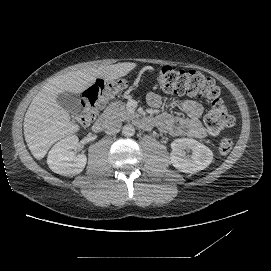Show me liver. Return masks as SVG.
Wrapping results in <instances>:
<instances>
[{
    "mask_svg": "<svg viewBox=\"0 0 271 271\" xmlns=\"http://www.w3.org/2000/svg\"><path fill=\"white\" fill-rule=\"evenodd\" d=\"M134 66L130 62L117 63L70 71L51 78L33 98L24 117V137L33 157L41 160L54 142L77 130L75 125L68 123L69 115L57 103L58 94L66 91L81 93L97 77L115 79L126 75Z\"/></svg>",
    "mask_w": 271,
    "mask_h": 271,
    "instance_id": "liver-1",
    "label": "liver"
}]
</instances>
